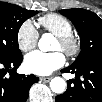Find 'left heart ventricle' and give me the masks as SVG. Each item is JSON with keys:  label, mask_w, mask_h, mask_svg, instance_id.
Returning a JSON list of instances; mask_svg holds the SVG:
<instances>
[{"label": "left heart ventricle", "mask_w": 102, "mask_h": 102, "mask_svg": "<svg viewBox=\"0 0 102 102\" xmlns=\"http://www.w3.org/2000/svg\"><path fill=\"white\" fill-rule=\"evenodd\" d=\"M53 50H60V45L57 40L54 43Z\"/></svg>", "instance_id": "obj_1"}]
</instances>
